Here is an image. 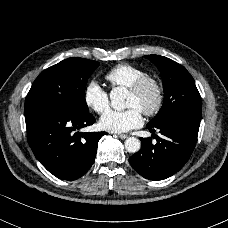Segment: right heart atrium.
<instances>
[{
    "instance_id": "obj_1",
    "label": "right heart atrium",
    "mask_w": 228,
    "mask_h": 228,
    "mask_svg": "<svg viewBox=\"0 0 228 228\" xmlns=\"http://www.w3.org/2000/svg\"><path fill=\"white\" fill-rule=\"evenodd\" d=\"M83 100L87 107L98 114L105 112L110 104L108 91L96 79H91L86 83Z\"/></svg>"
}]
</instances>
